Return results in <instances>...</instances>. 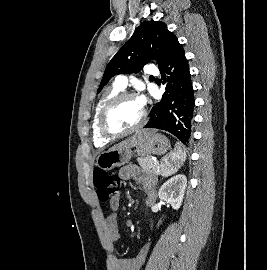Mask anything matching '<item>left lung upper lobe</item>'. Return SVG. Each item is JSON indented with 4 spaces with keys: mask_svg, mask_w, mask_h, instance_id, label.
Returning a JSON list of instances; mask_svg holds the SVG:
<instances>
[{
    "mask_svg": "<svg viewBox=\"0 0 267 270\" xmlns=\"http://www.w3.org/2000/svg\"><path fill=\"white\" fill-rule=\"evenodd\" d=\"M177 42L176 36L167 30L165 23L143 22L107 65L99 92L114 75L139 72L152 59L158 61L160 68Z\"/></svg>",
    "mask_w": 267,
    "mask_h": 270,
    "instance_id": "left-lung-upper-lobe-1",
    "label": "left lung upper lobe"
}]
</instances>
